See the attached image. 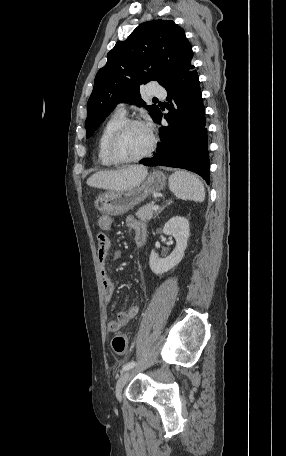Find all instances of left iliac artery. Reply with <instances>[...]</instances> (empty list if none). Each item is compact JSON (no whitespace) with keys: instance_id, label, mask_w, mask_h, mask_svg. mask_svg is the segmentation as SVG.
Instances as JSON below:
<instances>
[{"instance_id":"44dca946","label":"left iliac artery","mask_w":286,"mask_h":456,"mask_svg":"<svg viewBox=\"0 0 286 456\" xmlns=\"http://www.w3.org/2000/svg\"><path fill=\"white\" fill-rule=\"evenodd\" d=\"M135 365H136V362H135V361L128 362V363H126V364L123 366L122 371H126V370H128V369H131V368H133Z\"/></svg>"}]
</instances>
